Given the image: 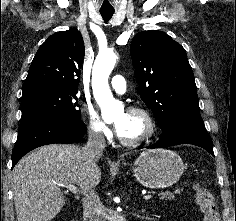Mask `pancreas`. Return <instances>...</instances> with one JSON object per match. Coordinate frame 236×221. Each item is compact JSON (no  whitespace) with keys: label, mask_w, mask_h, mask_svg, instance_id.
I'll return each instance as SVG.
<instances>
[{"label":"pancreas","mask_w":236,"mask_h":221,"mask_svg":"<svg viewBox=\"0 0 236 221\" xmlns=\"http://www.w3.org/2000/svg\"><path fill=\"white\" fill-rule=\"evenodd\" d=\"M181 191L182 190L177 189V190H175L174 193L175 194H180ZM160 195H161L160 199H162V200H167V199L170 200V199H172L174 197V194L172 192H168V191L162 192Z\"/></svg>","instance_id":"pancreas-1"}]
</instances>
